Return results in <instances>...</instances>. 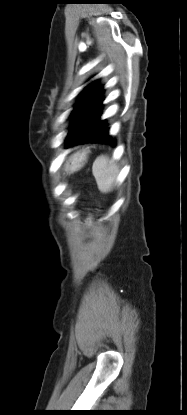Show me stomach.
Instances as JSON below:
<instances>
[{"label": "stomach", "instance_id": "0dacf381", "mask_svg": "<svg viewBox=\"0 0 187 415\" xmlns=\"http://www.w3.org/2000/svg\"><path fill=\"white\" fill-rule=\"evenodd\" d=\"M89 152L88 149L77 151L67 162V169L71 172L81 169L87 162Z\"/></svg>", "mask_w": 187, "mask_h": 415}]
</instances>
